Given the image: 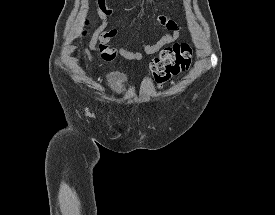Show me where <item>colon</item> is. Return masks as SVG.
I'll return each mask as SVG.
<instances>
[{
    "label": "colon",
    "instance_id": "1",
    "mask_svg": "<svg viewBox=\"0 0 275 215\" xmlns=\"http://www.w3.org/2000/svg\"><path fill=\"white\" fill-rule=\"evenodd\" d=\"M102 1V0H101ZM193 61V50L188 42H176L163 48L150 62V69L158 84H163L185 71Z\"/></svg>",
    "mask_w": 275,
    "mask_h": 215
}]
</instances>
